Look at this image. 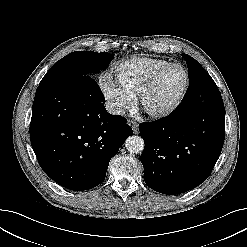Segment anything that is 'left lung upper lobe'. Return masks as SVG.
<instances>
[{"instance_id":"5c2ea615","label":"left lung upper lobe","mask_w":247,"mask_h":247,"mask_svg":"<svg viewBox=\"0 0 247 247\" xmlns=\"http://www.w3.org/2000/svg\"><path fill=\"white\" fill-rule=\"evenodd\" d=\"M182 57L186 60L189 73V87L182 101L191 102L195 100V91H193L192 85L201 80L212 78L194 58L187 54H182Z\"/></svg>"}]
</instances>
